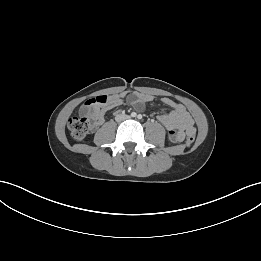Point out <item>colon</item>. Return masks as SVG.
Segmentation results:
<instances>
[{
  "label": "colon",
  "mask_w": 261,
  "mask_h": 261,
  "mask_svg": "<svg viewBox=\"0 0 261 261\" xmlns=\"http://www.w3.org/2000/svg\"><path fill=\"white\" fill-rule=\"evenodd\" d=\"M107 100V96L101 95L89 100L90 103H104ZM91 123L89 118L85 114H81L79 116H73L69 119L68 128L71 134V137L80 141L85 138ZM194 141V134H189L186 138L185 145L190 147Z\"/></svg>",
  "instance_id": "colon-1"
}]
</instances>
